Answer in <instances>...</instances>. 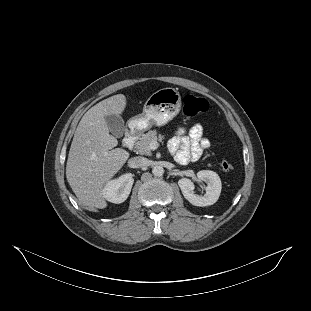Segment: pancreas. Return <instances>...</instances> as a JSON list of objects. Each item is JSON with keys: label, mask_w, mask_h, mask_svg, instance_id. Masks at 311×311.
<instances>
[{"label": "pancreas", "mask_w": 311, "mask_h": 311, "mask_svg": "<svg viewBox=\"0 0 311 311\" xmlns=\"http://www.w3.org/2000/svg\"><path fill=\"white\" fill-rule=\"evenodd\" d=\"M161 141L162 136H159L156 130H149L147 133L143 134L141 138L135 143V151L140 155H151L152 151L150 148V143L153 141ZM208 166H211L208 164Z\"/></svg>", "instance_id": "obj_1"}]
</instances>
